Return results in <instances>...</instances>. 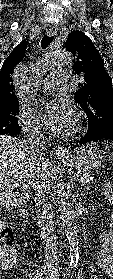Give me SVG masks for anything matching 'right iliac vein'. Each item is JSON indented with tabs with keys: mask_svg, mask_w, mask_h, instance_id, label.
Masks as SVG:
<instances>
[{
	"mask_svg": "<svg viewBox=\"0 0 113 279\" xmlns=\"http://www.w3.org/2000/svg\"><path fill=\"white\" fill-rule=\"evenodd\" d=\"M41 271L44 272V273H46L48 270H47L46 267H42V268H41Z\"/></svg>",
	"mask_w": 113,
	"mask_h": 279,
	"instance_id": "right-iliac-vein-1",
	"label": "right iliac vein"
}]
</instances>
